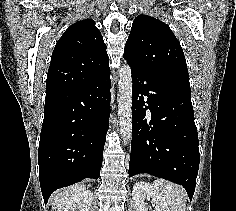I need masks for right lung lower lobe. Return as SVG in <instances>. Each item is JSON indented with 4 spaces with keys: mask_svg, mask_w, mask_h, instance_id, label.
<instances>
[{
    "mask_svg": "<svg viewBox=\"0 0 236 211\" xmlns=\"http://www.w3.org/2000/svg\"><path fill=\"white\" fill-rule=\"evenodd\" d=\"M110 71L46 93L38 163L45 203L58 188L98 179L110 115Z\"/></svg>",
    "mask_w": 236,
    "mask_h": 211,
    "instance_id": "right-lung-lower-lobe-1",
    "label": "right lung lower lobe"
}]
</instances>
